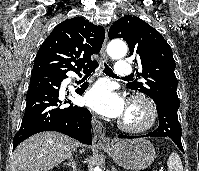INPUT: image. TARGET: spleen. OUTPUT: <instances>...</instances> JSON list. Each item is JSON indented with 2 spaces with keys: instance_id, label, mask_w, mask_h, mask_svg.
I'll return each instance as SVG.
<instances>
[{
  "instance_id": "spleen-1",
  "label": "spleen",
  "mask_w": 199,
  "mask_h": 171,
  "mask_svg": "<svg viewBox=\"0 0 199 171\" xmlns=\"http://www.w3.org/2000/svg\"><path fill=\"white\" fill-rule=\"evenodd\" d=\"M167 166L169 171H183V165L179 155L172 152L168 158Z\"/></svg>"
}]
</instances>
